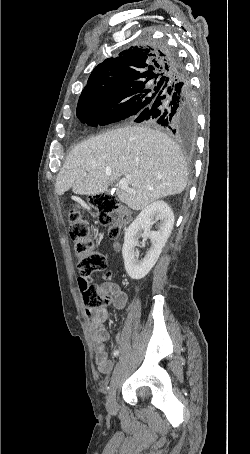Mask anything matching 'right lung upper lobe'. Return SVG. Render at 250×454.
Listing matches in <instances>:
<instances>
[{"label":"right lung upper lobe","mask_w":250,"mask_h":454,"mask_svg":"<svg viewBox=\"0 0 250 454\" xmlns=\"http://www.w3.org/2000/svg\"><path fill=\"white\" fill-rule=\"evenodd\" d=\"M170 69L165 48L151 43L132 46L94 68L78 104L113 99L149 81L161 86Z\"/></svg>","instance_id":"cb5924a9"}]
</instances>
